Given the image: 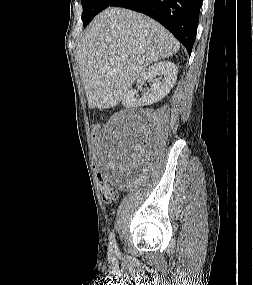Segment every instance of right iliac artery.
<instances>
[{
	"label": "right iliac artery",
	"instance_id": "right-iliac-artery-1",
	"mask_svg": "<svg viewBox=\"0 0 253 285\" xmlns=\"http://www.w3.org/2000/svg\"><path fill=\"white\" fill-rule=\"evenodd\" d=\"M109 245L111 249L116 247V241H115V236L113 232L110 234V237H109Z\"/></svg>",
	"mask_w": 253,
	"mask_h": 285
}]
</instances>
